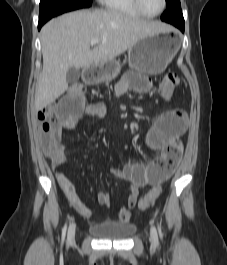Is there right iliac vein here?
<instances>
[{
    "mask_svg": "<svg viewBox=\"0 0 227 265\" xmlns=\"http://www.w3.org/2000/svg\"><path fill=\"white\" fill-rule=\"evenodd\" d=\"M75 238V225L71 224L68 230L67 243L71 244Z\"/></svg>",
    "mask_w": 227,
    "mask_h": 265,
    "instance_id": "1",
    "label": "right iliac vein"
}]
</instances>
